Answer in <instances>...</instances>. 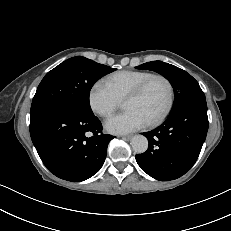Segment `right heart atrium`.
Returning <instances> with one entry per match:
<instances>
[{
    "label": "right heart atrium",
    "mask_w": 231,
    "mask_h": 231,
    "mask_svg": "<svg viewBox=\"0 0 231 231\" xmlns=\"http://www.w3.org/2000/svg\"><path fill=\"white\" fill-rule=\"evenodd\" d=\"M91 110L100 117H109L120 105L118 97L103 82H95L88 93Z\"/></svg>",
    "instance_id": "d8ad5b80"
}]
</instances>
